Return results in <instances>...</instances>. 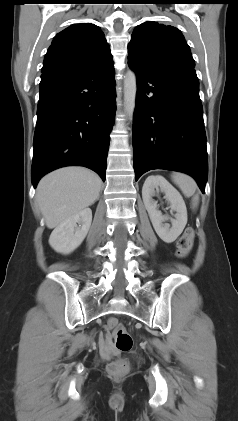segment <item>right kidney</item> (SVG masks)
Instances as JSON below:
<instances>
[{"label":"right kidney","instance_id":"right-kidney-1","mask_svg":"<svg viewBox=\"0 0 238 421\" xmlns=\"http://www.w3.org/2000/svg\"><path fill=\"white\" fill-rule=\"evenodd\" d=\"M91 222V209H83L78 214L59 224L53 230L49 238L50 246L58 253L70 254L83 242L89 231Z\"/></svg>","mask_w":238,"mask_h":421}]
</instances>
